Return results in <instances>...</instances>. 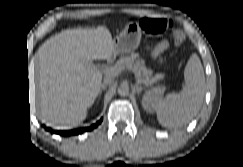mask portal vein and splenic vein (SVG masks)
<instances>
[{"label":"portal vein and splenic vein","instance_id":"obj_1","mask_svg":"<svg viewBox=\"0 0 243 167\" xmlns=\"http://www.w3.org/2000/svg\"><path fill=\"white\" fill-rule=\"evenodd\" d=\"M107 73L111 74V75H118L122 70L117 67V66H113L110 68H106L105 69Z\"/></svg>","mask_w":243,"mask_h":167}]
</instances>
